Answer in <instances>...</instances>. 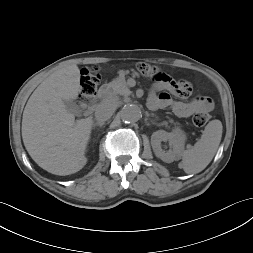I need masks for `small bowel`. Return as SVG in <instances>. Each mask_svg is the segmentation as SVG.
I'll use <instances>...</instances> for the list:
<instances>
[{
  "instance_id": "obj_1",
  "label": "small bowel",
  "mask_w": 253,
  "mask_h": 253,
  "mask_svg": "<svg viewBox=\"0 0 253 253\" xmlns=\"http://www.w3.org/2000/svg\"><path fill=\"white\" fill-rule=\"evenodd\" d=\"M191 93V86L186 81H175L168 75L154 81L148 98L150 109L171 108L179 117L187 118L199 112H209L213 107L210 98L197 95L188 102L176 100L172 95L186 98Z\"/></svg>"
}]
</instances>
